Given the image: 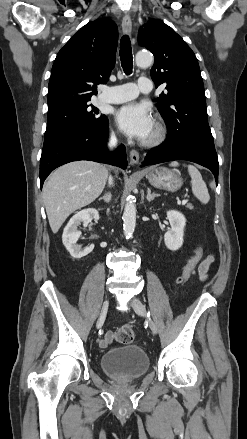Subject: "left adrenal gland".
<instances>
[{
    "instance_id": "1",
    "label": "left adrenal gland",
    "mask_w": 247,
    "mask_h": 439,
    "mask_svg": "<svg viewBox=\"0 0 247 439\" xmlns=\"http://www.w3.org/2000/svg\"><path fill=\"white\" fill-rule=\"evenodd\" d=\"M160 195L159 194H156V193H151V189L148 187L147 188V196H146V199L150 202V201H152V200H154V198L155 197H159Z\"/></svg>"
}]
</instances>
